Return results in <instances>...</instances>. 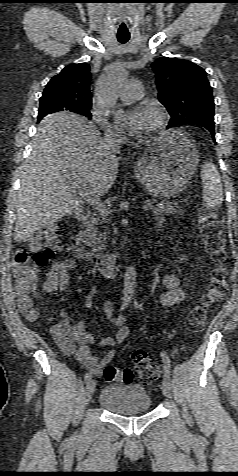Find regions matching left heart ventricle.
Segmentation results:
<instances>
[{
    "label": "left heart ventricle",
    "instance_id": "left-heart-ventricle-1",
    "mask_svg": "<svg viewBox=\"0 0 238 476\" xmlns=\"http://www.w3.org/2000/svg\"><path fill=\"white\" fill-rule=\"evenodd\" d=\"M145 108H147L148 112H147L146 124H145V128L143 132L150 130L157 121V116L155 111L149 107H145Z\"/></svg>",
    "mask_w": 238,
    "mask_h": 476
}]
</instances>
